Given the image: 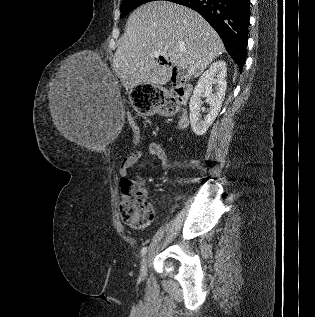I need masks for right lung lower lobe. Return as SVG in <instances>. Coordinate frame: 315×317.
<instances>
[{"label": "right lung lower lobe", "mask_w": 315, "mask_h": 317, "mask_svg": "<svg viewBox=\"0 0 315 317\" xmlns=\"http://www.w3.org/2000/svg\"><path fill=\"white\" fill-rule=\"evenodd\" d=\"M199 12L221 37L227 52L242 69L246 60L250 0H175Z\"/></svg>", "instance_id": "98d812e1"}]
</instances>
